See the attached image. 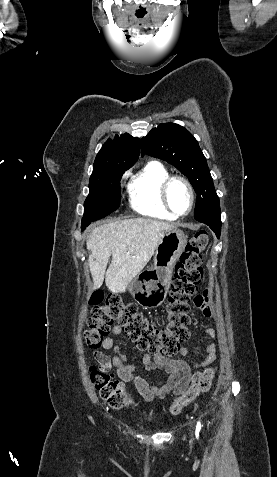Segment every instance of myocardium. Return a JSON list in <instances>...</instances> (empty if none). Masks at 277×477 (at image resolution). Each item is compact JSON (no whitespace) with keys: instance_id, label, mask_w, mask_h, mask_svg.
Returning a JSON list of instances; mask_svg holds the SVG:
<instances>
[{"instance_id":"f54148a6","label":"myocardium","mask_w":277,"mask_h":477,"mask_svg":"<svg viewBox=\"0 0 277 477\" xmlns=\"http://www.w3.org/2000/svg\"><path fill=\"white\" fill-rule=\"evenodd\" d=\"M174 181L183 182L186 185V187L188 189V192H189V195H190V205H189V208H188L187 212L184 213V214L177 213L172 208V206L170 204V201H169V188ZM160 197H161V201H162V204L164 205L165 209L169 213H171L173 216H175L176 218H183V217L188 216L192 212V210L194 208V205H195V191H194L193 185L186 177H184L182 175H169L161 184Z\"/></svg>"}]
</instances>
